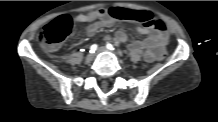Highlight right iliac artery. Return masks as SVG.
<instances>
[{
	"label": "right iliac artery",
	"instance_id": "1",
	"mask_svg": "<svg viewBox=\"0 0 218 122\" xmlns=\"http://www.w3.org/2000/svg\"><path fill=\"white\" fill-rule=\"evenodd\" d=\"M97 49V45L96 44H93L91 47H90V53H94Z\"/></svg>",
	"mask_w": 218,
	"mask_h": 122
}]
</instances>
